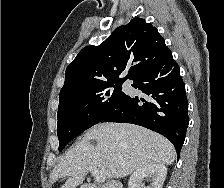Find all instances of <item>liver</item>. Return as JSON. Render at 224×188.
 <instances>
[{"mask_svg":"<svg viewBox=\"0 0 224 188\" xmlns=\"http://www.w3.org/2000/svg\"><path fill=\"white\" fill-rule=\"evenodd\" d=\"M175 156L172 143L153 131L126 123H102L88 130L65 153L51 178L55 182L69 177L61 188H76L83 183L90 167L97 168L108 179H118L150 164L170 165Z\"/></svg>","mask_w":224,"mask_h":188,"instance_id":"obj_1","label":"liver"}]
</instances>
